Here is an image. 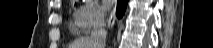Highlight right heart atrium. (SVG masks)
Masks as SVG:
<instances>
[{
	"mask_svg": "<svg viewBox=\"0 0 213 48\" xmlns=\"http://www.w3.org/2000/svg\"><path fill=\"white\" fill-rule=\"evenodd\" d=\"M74 19L79 32L85 34L100 26L104 20V15L96 2L85 1L76 7Z\"/></svg>",
	"mask_w": 213,
	"mask_h": 48,
	"instance_id": "1",
	"label": "right heart atrium"
}]
</instances>
